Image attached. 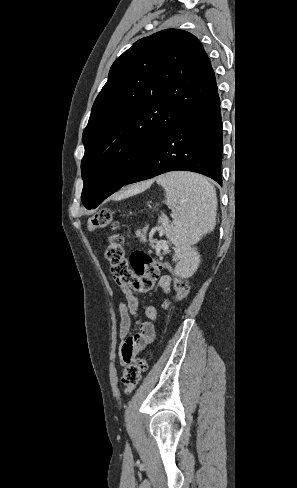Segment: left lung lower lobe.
Returning a JSON list of instances; mask_svg holds the SVG:
<instances>
[{"mask_svg": "<svg viewBox=\"0 0 297 488\" xmlns=\"http://www.w3.org/2000/svg\"><path fill=\"white\" fill-rule=\"evenodd\" d=\"M221 163L222 119L216 91L159 142L125 185L174 170L201 173L221 185Z\"/></svg>", "mask_w": 297, "mask_h": 488, "instance_id": "left-lung-lower-lobe-1", "label": "left lung lower lobe"}]
</instances>
